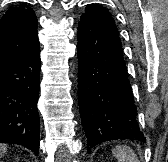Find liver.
<instances>
[{"mask_svg":"<svg viewBox=\"0 0 168 162\" xmlns=\"http://www.w3.org/2000/svg\"><path fill=\"white\" fill-rule=\"evenodd\" d=\"M6 150H7V145L0 143V158L6 152Z\"/></svg>","mask_w":168,"mask_h":162,"instance_id":"obj_1","label":"liver"}]
</instances>
